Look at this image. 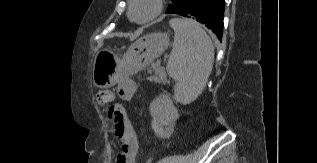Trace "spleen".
I'll return each mask as SVG.
<instances>
[{
	"label": "spleen",
	"instance_id": "spleen-1",
	"mask_svg": "<svg viewBox=\"0 0 317 163\" xmlns=\"http://www.w3.org/2000/svg\"><path fill=\"white\" fill-rule=\"evenodd\" d=\"M174 42L167 63L168 74L177 81L175 99L183 105L193 102L204 90L214 62V46L194 20L173 18Z\"/></svg>",
	"mask_w": 317,
	"mask_h": 163
}]
</instances>
